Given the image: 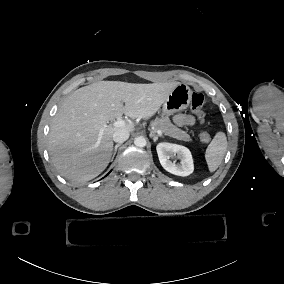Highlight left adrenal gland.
Listing matches in <instances>:
<instances>
[{
  "label": "left adrenal gland",
  "mask_w": 284,
  "mask_h": 284,
  "mask_svg": "<svg viewBox=\"0 0 284 284\" xmlns=\"http://www.w3.org/2000/svg\"><path fill=\"white\" fill-rule=\"evenodd\" d=\"M150 137H151V138H154V142H156L159 137L164 138V136L157 135V134H155V132H153V131H151Z\"/></svg>",
  "instance_id": "left-adrenal-gland-1"
}]
</instances>
